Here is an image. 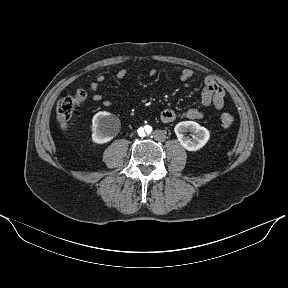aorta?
I'll use <instances>...</instances> for the list:
<instances>
[{
	"label": "aorta",
	"instance_id": "obj_1",
	"mask_svg": "<svg viewBox=\"0 0 288 288\" xmlns=\"http://www.w3.org/2000/svg\"><path fill=\"white\" fill-rule=\"evenodd\" d=\"M153 131V128L149 124L140 125L136 129V134L140 138H145L151 136V132Z\"/></svg>",
	"mask_w": 288,
	"mask_h": 288
}]
</instances>
